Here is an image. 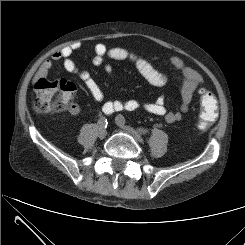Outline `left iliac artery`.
<instances>
[{
    "label": "left iliac artery",
    "instance_id": "obj_1",
    "mask_svg": "<svg viewBox=\"0 0 245 245\" xmlns=\"http://www.w3.org/2000/svg\"><path fill=\"white\" fill-rule=\"evenodd\" d=\"M120 119H121V121H122L124 124L126 123L125 118H124L122 115H120ZM137 129H138V131H139L140 133H142V134H147V133H149V131H148L147 129H145V128L139 127V128H137Z\"/></svg>",
    "mask_w": 245,
    "mask_h": 245
}]
</instances>
